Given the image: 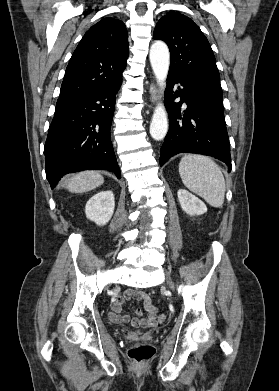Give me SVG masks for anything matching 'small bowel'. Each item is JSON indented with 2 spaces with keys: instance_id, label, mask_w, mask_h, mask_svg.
Here are the masks:
<instances>
[{
  "instance_id": "obj_1",
  "label": "small bowel",
  "mask_w": 279,
  "mask_h": 391,
  "mask_svg": "<svg viewBox=\"0 0 279 391\" xmlns=\"http://www.w3.org/2000/svg\"><path fill=\"white\" fill-rule=\"evenodd\" d=\"M125 300H138L143 302L144 309L147 313L146 317H142V311L136 310L137 317L131 318L128 315L121 314L122 305ZM110 319L116 323L131 324L137 328H147L156 325L157 322V308L152 304L149 296L136 290H128L122 296L116 298L111 306L109 313Z\"/></svg>"
}]
</instances>
